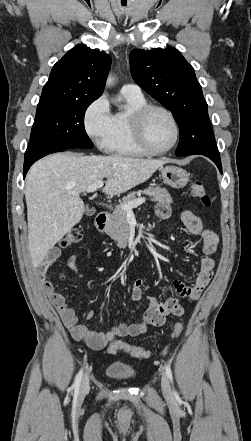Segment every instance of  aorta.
I'll use <instances>...</instances> for the list:
<instances>
[{
    "instance_id": "1",
    "label": "aorta",
    "mask_w": 251,
    "mask_h": 441,
    "mask_svg": "<svg viewBox=\"0 0 251 441\" xmlns=\"http://www.w3.org/2000/svg\"><path fill=\"white\" fill-rule=\"evenodd\" d=\"M114 81V78L112 76H109L107 79V85H111Z\"/></svg>"
}]
</instances>
